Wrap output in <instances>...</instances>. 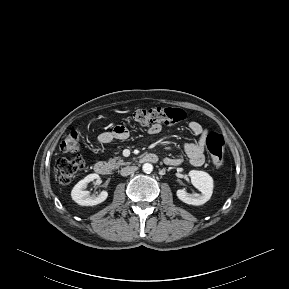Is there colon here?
Instances as JSON below:
<instances>
[{
    "label": "colon",
    "mask_w": 289,
    "mask_h": 289,
    "mask_svg": "<svg viewBox=\"0 0 289 289\" xmlns=\"http://www.w3.org/2000/svg\"><path fill=\"white\" fill-rule=\"evenodd\" d=\"M186 118V113L179 108L156 107L150 109H138L129 117V120L139 125H151L164 123L175 125ZM226 142L222 134L210 132L206 138V146L211 155L212 163L220 168L224 164V148ZM80 136L76 131H71L60 145L63 153H74L79 150ZM84 161L80 157L64 158L58 162L57 171L60 183L69 184L83 169Z\"/></svg>",
    "instance_id": "obj_1"
}]
</instances>
